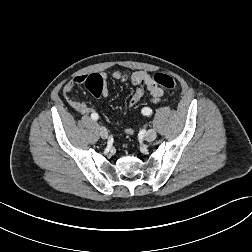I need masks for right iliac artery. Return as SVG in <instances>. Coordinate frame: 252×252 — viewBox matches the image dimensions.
Returning <instances> with one entry per match:
<instances>
[{
    "instance_id": "1",
    "label": "right iliac artery",
    "mask_w": 252,
    "mask_h": 252,
    "mask_svg": "<svg viewBox=\"0 0 252 252\" xmlns=\"http://www.w3.org/2000/svg\"><path fill=\"white\" fill-rule=\"evenodd\" d=\"M91 118H92V120L96 121V120H98L99 116H98L97 113H93V114L91 115Z\"/></svg>"
}]
</instances>
